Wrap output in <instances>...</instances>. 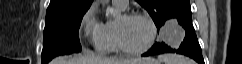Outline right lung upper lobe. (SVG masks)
I'll list each match as a JSON object with an SVG mask.
<instances>
[{
    "label": "right lung upper lobe",
    "mask_w": 242,
    "mask_h": 64,
    "mask_svg": "<svg viewBox=\"0 0 242 64\" xmlns=\"http://www.w3.org/2000/svg\"><path fill=\"white\" fill-rule=\"evenodd\" d=\"M93 0H51L46 17L86 12Z\"/></svg>",
    "instance_id": "obj_1"
}]
</instances>
